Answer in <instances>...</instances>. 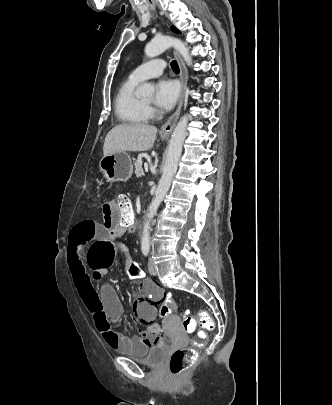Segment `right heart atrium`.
<instances>
[{
	"label": "right heart atrium",
	"instance_id": "right-heart-atrium-1",
	"mask_svg": "<svg viewBox=\"0 0 332 405\" xmlns=\"http://www.w3.org/2000/svg\"><path fill=\"white\" fill-rule=\"evenodd\" d=\"M153 112V110L152 109H149V113L151 114Z\"/></svg>",
	"mask_w": 332,
	"mask_h": 405
}]
</instances>
